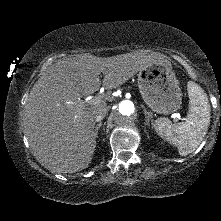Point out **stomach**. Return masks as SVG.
I'll return each instance as SVG.
<instances>
[{
    "label": "stomach",
    "mask_w": 221,
    "mask_h": 221,
    "mask_svg": "<svg viewBox=\"0 0 221 221\" xmlns=\"http://www.w3.org/2000/svg\"><path fill=\"white\" fill-rule=\"evenodd\" d=\"M138 87L144 102L155 112L171 114L182 102L179 81L171 66L155 63L138 73Z\"/></svg>",
    "instance_id": "0dacf381"
}]
</instances>
